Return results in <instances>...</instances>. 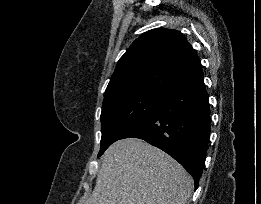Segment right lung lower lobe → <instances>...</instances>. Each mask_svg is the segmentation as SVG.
Returning a JSON list of instances; mask_svg holds the SVG:
<instances>
[{
  "mask_svg": "<svg viewBox=\"0 0 261 204\" xmlns=\"http://www.w3.org/2000/svg\"><path fill=\"white\" fill-rule=\"evenodd\" d=\"M210 114L200 70L168 90L164 98L119 139H143L165 151L192 175L196 189L206 158Z\"/></svg>",
  "mask_w": 261,
  "mask_h": 204,
  "instance_id": "1",
  "label": "right lung lower lobe"
}]
</instances>
